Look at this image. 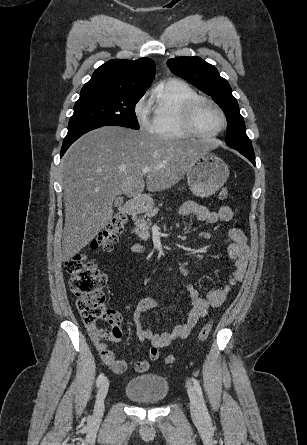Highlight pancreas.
Instances as JSON below:
<instances>
[{"label": "pancreas", "instance_id": "pancreas-1", "mask_svg": "<svg viewBox=\"0 0 307 445\" xmlns=\"http://www.w3.org/2000/svg\"><path fill=\"white\" fill-rule=\"evenodd\" d=\"M159 206H162V202H160ZM159 208L155 206V208H150V206H146V212L144 216H140V218H136L135 220V233L138 235L141 241H147L149 239V227H150V218L151 216H155L157 214Z\"/></svg>", "mask_w": 307, "mask_h": 445}]
</instances>
